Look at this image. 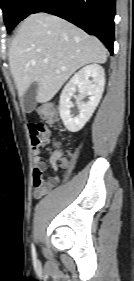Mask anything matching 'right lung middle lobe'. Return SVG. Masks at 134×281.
I'll return each instance as SVG.
<instances>
[{
	"instance_id": "obj_1",
	"label": "right lung middle lobe",
	"mask_w": 134,
	"mask_h": 281,
	"mask_svg": "<svg viewBox=\"0 0 134 281\" xmlns=\"http://www.w3.org/2000/svg\"><path fill=\"white\" fill-rule=\"evenodd\" d=\"M34 0H1L3 17L9 33L26 17V11Z\"/></svg>"
}]
</instances>
